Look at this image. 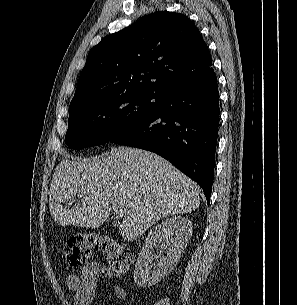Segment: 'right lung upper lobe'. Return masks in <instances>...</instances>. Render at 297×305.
Instances as JSON below:
<instances>
[{"mask_svg":"<svg viewBox=\"0 0 297 305\" xmlns=\"http://www.w3.org/2000/svg\"><path fill=\"white\" fill-rule=\"evenodd\" d=\"M213 72L208 47L192 21L183 14L156 12L91 49L69 110L126 92L159 94Z\"/></svg>","mask_w":297,"mask_h":305,"instance_id":"1","label":"right lung upper lobe"}]
</instances>
